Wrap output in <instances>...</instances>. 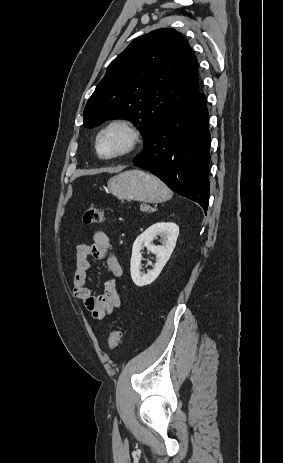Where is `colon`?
<instances>
[{"instance_id":"1","label":"colon","mask_w":283,"mask_h":463,"mask_svg":"<svg viewBox=\"0 0 283 463\" xmlns=\"http://www.w3.org/2000/svg\"><path fill=\"white\" fill-rule=\"evenodd\" d=\"M105 219L104 210L96 206H89L83 214V221L87 224H99ZM121 331L113 330L110 333L108 347L110 350H115L121 341Z\"/></svg>"}]
</instances>
